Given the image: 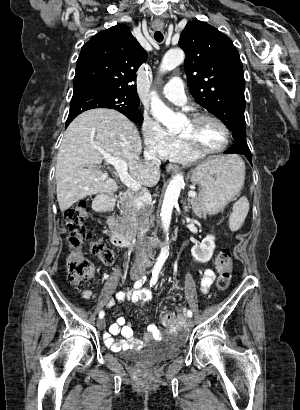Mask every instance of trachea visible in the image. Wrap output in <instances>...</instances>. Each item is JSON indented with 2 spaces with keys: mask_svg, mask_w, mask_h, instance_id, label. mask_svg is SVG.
I'll return each instance as SVG.
<instances>
[{
  "mask_svg": "<svg viewBox=\"0 0 300 410\" xmlns=\"http://www.w3.org/2000/svg\"><path fill=\"white\" fill-rule=\"evenodd\" d=\"M154 38L157 42H162L163 41V34L160 31H156L154 33Z\"/></svg>",
  "mask_w": 300,
  "mask_h": 410,
  "instance_id": "obj_1",
  "label": "trachea"
}]
</instances>
